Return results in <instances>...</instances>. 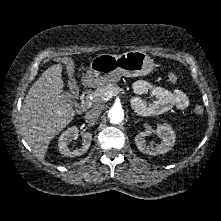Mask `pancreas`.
Instances as JSON below:
<instances>
[{"mask_svg":"<svg viewBox=\"0 0 221 221\" xmlns=\"http://www.w3.org/2000/svg\"><path fill=\"white\" fill-rule=\"evenodd\" d=\"M110 90L113 91L115 94L124 92V90L122 88H120L115 83H109V84L104 85V86H99L92 93L93 103L94 104H99V103H102L104 101H107L109 98L106 96V93Z\"/></svg>","mask_w":221,"mask_h":221,"instance_id":"cf45deb5","label":"pancreas"}]
</instances>
